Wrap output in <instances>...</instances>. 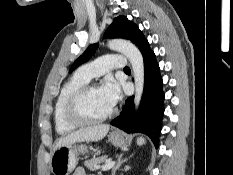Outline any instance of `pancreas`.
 Wrapping results in <instances>:
<instances>
[{"label": "pancreas", "instance_id": "obj_1", "mask_svg": "<svg viewBox=\"0 0 233 175\" xmlns=\"http://www.w3.org/2000/svg\"><path fill=\"white\" fill-rule=\"evenodd\" d=\"M107 156H101V157H93L91 160H86L84 162V165L94 171V170H97L100 168V164L103 163V162H106L108 159Z\"/></svg>", "mask_w": 233, "mask_h": 175}]
</instances>
